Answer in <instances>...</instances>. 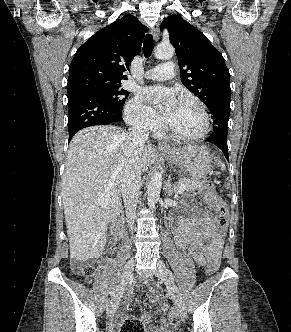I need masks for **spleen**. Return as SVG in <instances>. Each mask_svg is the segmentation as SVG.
<instances>
[{
	"label": "spleen",
	"mask_w": 291,
	"mask_h": 332,
	"mask_svg": "<svg viewBox=\"0 0 291 332\" xmlns=\"http://www.w3.org/2000/svg\"><path fill=\"white\" fill-rule=\"evenodd\" d=\"M217 164H218V166H220L221 170L226 169L225 165L221 161H218Z\"/></svg>",
	"instance_id": "3e777b00"
}]
</instances>
